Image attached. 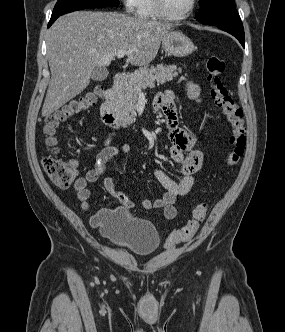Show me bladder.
Returning <instances> with one entry per match:
<instances>
[{
  "label": "bladder",
  "mask_w": 285,
  "mask_h": 332,
  "mask_svg": "<svg viewBox=\"0 0 285 332\" xmlns=\"http://www.w3.org/2000/svg\"><path fill=\"white\" fill-rule=\"evenodd\" d=\"M100 232L113 245L138 257L150 255L161 246L159 229L151 221L134 217L124 208L106 212Z\"/></svg>",
  "instance_id": "bladder-1"
}]
</instances>
